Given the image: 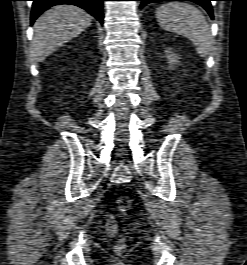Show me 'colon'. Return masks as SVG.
<instances>
[{
  "label": "colon",
  "mask_w": 247,
  "mask_h": 265,
  "mask_svg": "<svg viewBox=\"0 0 247 265\" xmlns=\"http://www.w3.org/2000/svg\"><path fill=\"white\" fill-rule=\"evenodd\" d=\"M132 206L131 199L127 195H121L117 199V207L119 211L123 214L129 212ZM126 248V239L124 237L120 238L115 246L116 251L123 252Z\"/></svg>",
  "instance_id": "obj_1"
}]
</instances>
